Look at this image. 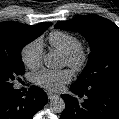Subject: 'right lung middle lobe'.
I'll list each match as a JSON object with an SVG mask.
<instances>
[{
  "label": "right lung middle lobe",
  "mask_w": 119,
  "mask_h": 119,
  "mask_svg": "<svg viewBox=\"0 0 119 119\" xmlns=\"http://www.w3.org/2000/svg\"><path fill=\"white\" fill-rule=\"evenodd\" d=\"M49 26L39 29L21 27L0 40V91L12 88L13 80L25 72L22 48L39 37Z\"/></svg>",
  "instance_id": "right-lung-middle-lobe-1"
}]
</instances>
